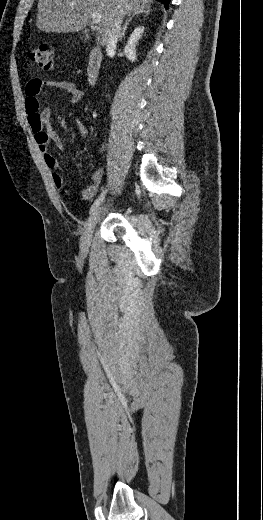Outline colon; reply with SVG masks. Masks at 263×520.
I'll use <instances>...</instances> for the list:
<instances>
[{
    "label": "colon",
    "mask_w": 263,
    "mask_h": 520,
    "mask_svg": "<svg viewBox=\"0 0 263 520\" xmlns=\"http://www.w3.org/2000/svg\"><path fill=\"white\" fill-rule=\"evenodd\" d=\"M29 57L32 62L44 70H51L54 67L53 49L49 44L43 43L32 49Z\"/></svg>",
    "instance_id": "1"
}]
</instances>
